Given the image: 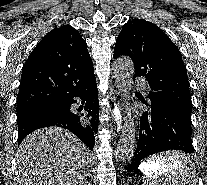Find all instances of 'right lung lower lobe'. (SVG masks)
Returning <instances> with one entry per match:
<instances>
[{
    "label": "right lung lower lobe",
    "instance_id": "obj_1",
    "mask_svg": "<svg viewBox=\"0 0 207 185\" xmlns=\"http://www.w3.org/2000/svg\"><path fill=\"white\" fill-rule=\"evenodd\" d=\"M95 77L87 82L75 85L55 104L30 111L17 118L18 141H21L34 130L43 127H62L73 132L91 150L95 144L94 134L98 131L99 102L97 99ZM80 97L85 103L82 108L74 109Z\"/></svg>",
    "mask_w": 207,
    "mask_h": 185
}]
</instances>
